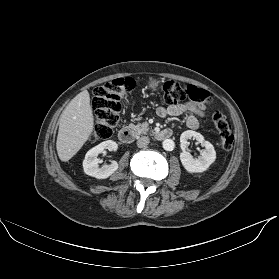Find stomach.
Wrapping results in <instances>:
<instances>
[{
    "label": "stomach",
    "instance_id": "1",
    "mask_svg": "<svg viewBox=\"0 0 279 279\" xmlns=\"http://www.w3.org/2000/svg\"><path fill=\"white\" fill-rule=\"evenodd\" d=\"M158 85H159V81L157 79L150 78V80H149V87L151 89L156 90Z\"/></svg>",
    "mask_w": 279,
    "mask_h": 279
}]
</instances>
